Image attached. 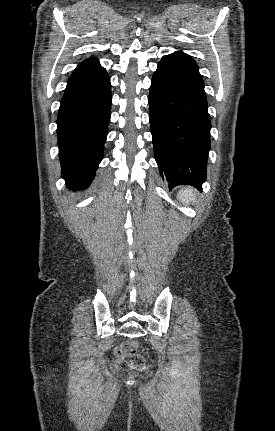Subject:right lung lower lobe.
<instances>
[{
  "label": "right lung lower lobe",
  "instance_id": "right-lung-lower-lobe-1",
  "mask_svg": "<svg viewBox=\"0 0 275 431\" xmlns=\"http://www.w3.org/2000/svg\"><path fill=\"white\" fill-rule=\"evenodd\" d=\"M111 84L105 69L68 81L57 118L62 177L85 189L103 159L111 113Z\"/></svg>",
  "mask_w": 275,
  "mask_h": 431
}]
</instances>
